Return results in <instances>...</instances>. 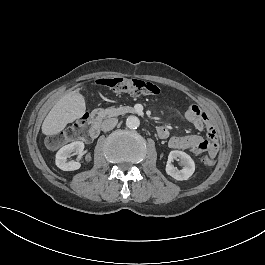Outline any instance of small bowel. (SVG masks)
<instances>
[{"mask_svg":"<svg viewBox=\"0 0 265 265\" xmlns=\"http://www.w3.org/2000/svg\"><path fill=\"white\" fill-rule=\"evenodd\" d=\"M186 118L194 124L197 129H207L209 140L198 135L172 136L169 138V132L164 127L158 128V133L163 132L161 139H168V145L175 150H190L194 154L208 152V155L216 156L218 151L217 133L209 116L197 105H191L186 111Z\"/></svg>","mask_w":265,"mask_h":265,"instance_id":"1","label":"small bowel"}]
</instances>
